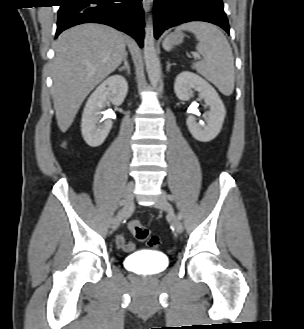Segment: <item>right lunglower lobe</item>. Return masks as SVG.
<instances>
[{
  "mask_svg": "<svg viewBox=\"0 0 304 329\" xmlns=\"http://www.w3.org/2000/svg\"><path fill=\"white\" fill-rule=\"evenodd\" d=\"M120 1V2H116ZM142 0H61L56 37L65 29L82 23H101L136 39H144Z\"/></svg>",
  "mask_w": 304,
  "mask_h": 329,
  "instance_id": "right-lung-lower-lobe-1",
  "label": "right lung lower lobe"
}]
</instances>
